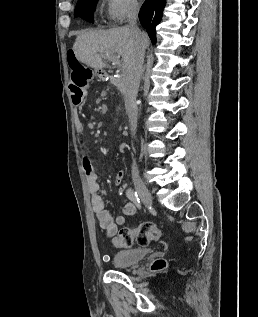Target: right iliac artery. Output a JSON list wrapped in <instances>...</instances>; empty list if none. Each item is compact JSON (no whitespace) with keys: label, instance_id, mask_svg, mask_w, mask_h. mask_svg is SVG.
I'll return each mask as SVG.
<instances>
[{"label":"right iliac artery","instance_id":"82829eb1","mask_svg":"<svg viewBox=\"0 0 258 317\" xmlns=\"http://www.w3.org/2000/svg\"><path fill=\"white\" fill-rule=\"evenodd\" d=\"M127 197L137 206L138 209H141V201L136 191L131 188L128 189Z\"/></svg>","mask_w":258,"mask_h":317}]
</instances>
